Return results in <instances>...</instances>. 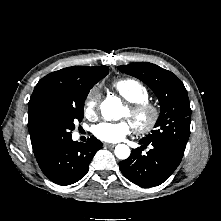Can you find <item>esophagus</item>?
I'll return each mask as SVG.
<instances>
[{
  "instance_id": "34e87169",
  "label": "esophagus",
  "mask_w": 221,
  "mask_h": 221,
  "mask_svg": "<svg viewBox=\"0 0 221 221\" xmlns=\"http://www.w3.org/2000/svg\"><path fill=\"white\" fill-rule=\"evenodd\" d=\"M114 146H115V144L106 143V142L103 143V147H105V148L114 147Z\"/></svg>"
}]
</instances>
